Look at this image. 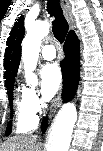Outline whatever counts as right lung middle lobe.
<instances>
[{"instance_id": "1", "label": "right lung middle lobe", "mask_w": 103, "mask_h": 151, "mask_svg": "<svg viewBox=\"0 0 103 151\" xmlns=\"http://www.w3.org/2000/svg\"><path fill=\"white\" fill-rule=\"evenodd\" d=\"M5 83L8 90L7 92H8L10 106L12 107L14 81L13 80L5 81ZM10 133H11V122L6 130V135H9Z\"/></svg>"}]
</instances>
